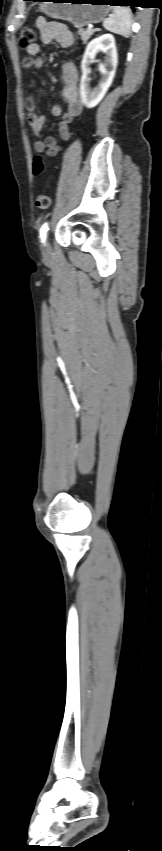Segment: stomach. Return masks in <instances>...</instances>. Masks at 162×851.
<instances>
[{
    "mask_svg": "<svg viewBox=\"0 0 162 851\" xmlns=\"http://www.w3.org/2000/svg\"><path fill=\"white\" fill-rule=\"evenodd\" d=\"M52 1L41 2V11L51 18L69 21L77 27L99 23L105 19L110 11V6L103 5L109 4L106 3L107 0Z\"/></svg>",
    "mask_w": 162,
    "mask_h": 851,
    "instance_id": "1",
    "label": "stomach"
}]
</instances>
